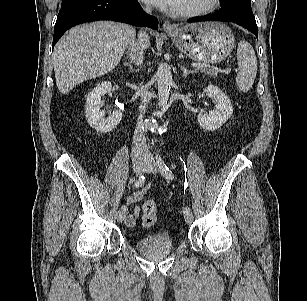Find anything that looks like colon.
<instances>
[{
	"label": "colon",
	"mask_w": 307,
	"mask_h": 301,
	"mask_svg": "<svg viewBox=\"0 0 307 301\" xmlns=\"http://www.w3.org/2000/svg\"><path fill=\"white\" fill-rule=\"evenodd\" d=\"M157 204L154 200H147L143 206V219L144 226H152L156 221Z\"/></svg>",
	"instance_id": "1"
}]
</instances>
